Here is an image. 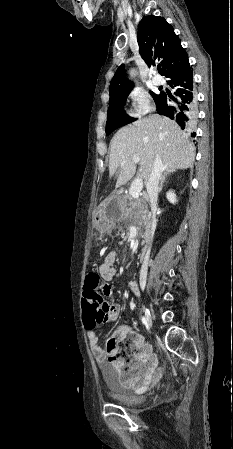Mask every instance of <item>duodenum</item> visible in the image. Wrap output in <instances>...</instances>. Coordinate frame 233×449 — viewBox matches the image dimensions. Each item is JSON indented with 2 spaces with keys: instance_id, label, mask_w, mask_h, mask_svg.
Masks as SVG:
<instances>
[{
  "instance_id": "obj_1",
  "label": "duodenum",
  "mask_w": 233,
  "mask_h": 449,
  "mask_svg": "<svg viewBox=\"0 0 233 449\" xmlns=\"http://www.w3.org/2000/svg\"><path fill=\"white\" fill-rule=\"evenodd\" d=\"M148 252L147 251H142L140 254H139V259L141 260V261H147L148 260Z\"/></svg>"
}]
</instances>
